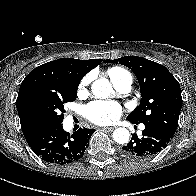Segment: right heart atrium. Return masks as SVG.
<instances>
[{
  "label": "right heart atrium",
  "mask_w": 196,
  "mask_h": 196,
  "mask_svg": "<svg viewBox=\"0 0 196 196\" xmlns=\"http://www.w3.org/2000/svg\"><path fill=\"white\" fill-rule=\"evenodd\" d=\"M89 82H90V77L86 76L79 84V92H84Z\"/></svg>",
  "instance_id": "obj_1"
}]
</instances>
